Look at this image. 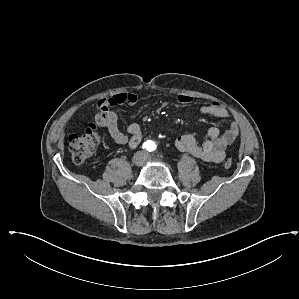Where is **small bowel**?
Here are the masks:
<instances>
[{"mask_svg": "<svg viewBox=\"0 0 299 299\" xmlns=\"http://www.w3.org/2000/svg\"><path fill=\"white\" fill-rule=\"evenodd\" d=\"M139 97L133 92H120L109 98H100L97 101L96 123L108 130L110 136L117 144H127L130 149L139 146L142 140V131L138 124L128 125L124 133L119 129V111L121 105L134 106ZM177 102L181 105H190L193 98L187 95H179ZM195 112L203 115H212L223 120L229 119L228 111L217 102H209L195 108ZM239 135V128L235 122H230L227 129L221 133L218 127H210L206 140L199 144L191 134H182L175 138L174 145L181 151L207 162L219 163L226 155V148L234 142Z\"/></svg>", "mask_w": 299, "mask_h": 299, "instance_id": "c3829d8e", "label": "small bowel"}]
</instances>
